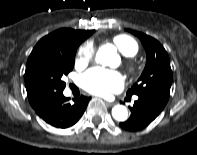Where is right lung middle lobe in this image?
I'll use <instances>...</instances> for the list:
<instances>
[{
    "label": "right lung middle lobe",
    "instance_id": "right-lung-middle-lobe-1",
    "mask_svg": "<svg viewBox=\"0 0 197 155\" xmlns=\"http://www.w3.org/2000/svg\"><path fill=\"white\" fill-rule=\"evenodd\" d=\"M78 43L38 42L31 52L25 71V86L31 101H50L63 93L61 80L74 67Z\"/></svg>",
    "mask_w": 197,
    "mask_h": 155
}]
</instances>
